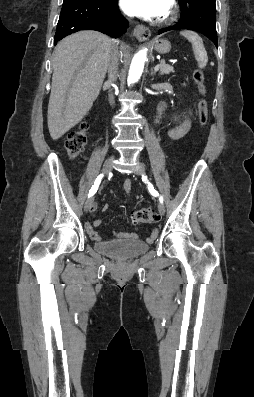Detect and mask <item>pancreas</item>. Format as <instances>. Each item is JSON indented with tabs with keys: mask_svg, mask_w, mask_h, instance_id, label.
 <instances>
[{
	"mask_svg": "<svg viewBox=\"0 0 254 397\" xmlns=\"http://www.w3.org/2000/svg\"><path fill=\"white\" fill-rule=\"evenodd\" d=\"M160 74H170L174 72V68L168 64H166L163 60L160 62L159 67Z\"/></svg>",
	"mask_w": 254,
	"mask_h": 397,
	"instance_id": "1",
	"label": "pancreas"
}]
</instances>
